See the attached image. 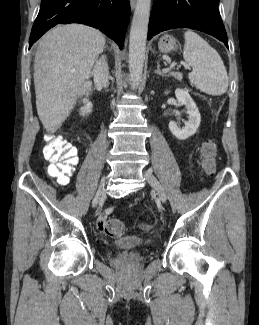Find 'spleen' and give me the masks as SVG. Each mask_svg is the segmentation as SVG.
<instances>
[{"mask_svg":"<svg viewBox=\"0 0 259 325\" xmlns=\"http://www.w3.org/2000/svg\"><path fill=\"white\" fill-rule=\"evenodd\" d=\"M184 60L192 67L190 82L209 95H222L228 89V75L218 52L197 33H184Z\"/></svg>","mask_w":259,"mask_h":325,"instance_id":"3e777b00","label":"spleen"}]
</instances>
